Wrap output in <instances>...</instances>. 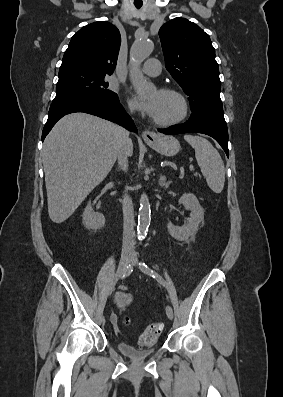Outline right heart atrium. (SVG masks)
I'll use <instances>...</instances> for the list:
<instances>
[{"instance_id": "obj_1", "label": "right heart atrium", "mask_w": 283, "mask_h": 397, "mask_svg": "<svg viewBox=\"0 0 283 397\" xmlns=\"http://www.w3.org/2000/svg\"><path fill=\"white\" fill-rule=\"evenodd\" d=\"M128 111L129 112H133L134 111V108H133V106L131 104L128 105Z\"/></svg>"}]
</instances>
